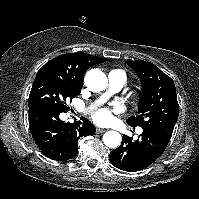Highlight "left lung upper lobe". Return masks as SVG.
Listing matches in <instances>:
<instances>
[{
	"mask_svg": "<svg viewBox=\"0 0 199 199\" xmlns=\"http://www.w3.org/2000/svg\"><path fill=\"white\" fill-rule=\"evenodd\" d=\"M138 75L143 96L136 117H129L127 123L140 126L143 130L159 132L171 138L179 116V105L173 80L157 66L146 61L126 62Z\"/></svg>",
	"mask_w": 199,
	"mask_h": 199,
	"instance_id": "5c2ea615",
	"label": "left lung upper lobe"
}]
</instances>
